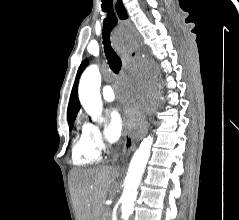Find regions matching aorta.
Instances as JSON below:
<instances>
[{
  "mask_svg": "<svg viewBox=\"0 0 239 220\" xmlns=\"http://www.w3.org/2000/svg\"><path fill=\"white\" fill-rule=\"evenodd\" d=\"M134 33H119L118 40H134ZM134 46V45H119ZM101 76L96 65L88 67L81 76L78 95L80 103L94 121L102 113L100 95ZM153 137H146L134 153L124 180V190L121 196V219L129 220L134 210L137 189L141 182L147 162L150 158Z\"/></svg>",
  "mask_w": 239,
  "mask_h": 220,
  "instance_id": "aorta-1",
  "label": "aorta"
}]
</instances>
